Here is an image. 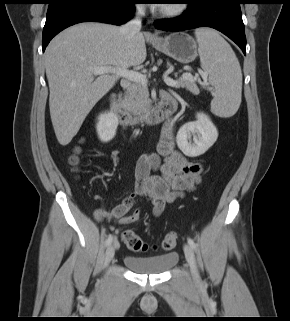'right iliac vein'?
Wrapping results in <instances>:
<instances>
[{"instance_id":"63e3f726","label":"right iliac vein","mask_w":290,"mask_h":321,"mask_svg":"<svg viewBox=\"0 0 290 321\" xmlns=\"http://www.w3.org/2000/svg\"><path fill=\"white\" fill-rule=\"evenodd\" d=\"M115 248H116V243H114L113 245H110L107 248L106 253H105V258H104L105 265H107L112 260V258L114 257Z\"/></svg>"}]
</instances>
